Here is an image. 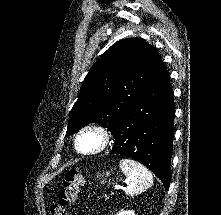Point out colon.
I'll return each mask as SVG.
<instances>
[{
    "instance_id": "obj_1",
    "label": "colon",
    "mask_w": 221,
    "mask_h": 215,
    "mask_svg": "<svg viewBox=\"0 0 221 215\" xmlns=\"http://www.w3.org/2000/svg\"><path fill=\"white\" fill-rule=\"evenodd\" d=\"M82 185V175L77 170H69L60 189L58 203L51 207V215H68L67 207L76 201Z\"/></svg>"
}]
</instances>
